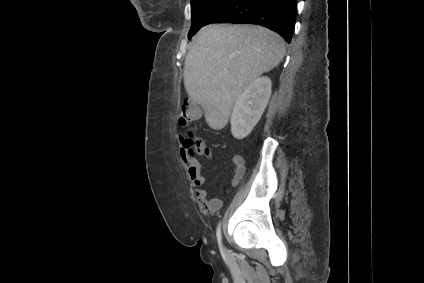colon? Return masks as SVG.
Returning <instances> with one entry per match:
<instances>
[{
    "label": "colon",
    "mask_w": 424,
    "mask_h": 283,
    "mask_svg": "<svg viewBox=\"0 0 424 283\" xmlns=\"http://www.w3.org/2000/svg\"><path fill=\"white\" fill-rule=\"evenodd\" d=\"M200 114L199 108L192 101H186L180 110L178 123L180 126H186L198 118ZM187 145L194 147L198 152L209 155L210 149L205 146L200 140L193 137L186 140Z\"/></svg>",
    "instance_id": "obj_1"
}]
</instances>
